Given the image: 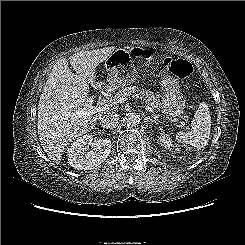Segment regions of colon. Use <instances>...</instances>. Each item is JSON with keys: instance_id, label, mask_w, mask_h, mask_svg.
Masks as SVG:
<instances>
[{"instance_id": "5ec220e1", "label": "colon", "mask_w": 245, "mask_h": 245, "mask_svg": "<svg viewBox=\"0 0 245 245\" xmlns=\"http://www.w3.org/2000/svg\"><path fill=\"white\" fill-rule=\"evenodd\" d=\"M163 64L167 70L180 79L188 78L193 72L192 65L183 59L166 57Z\"/></svg>"}]
</instances>
